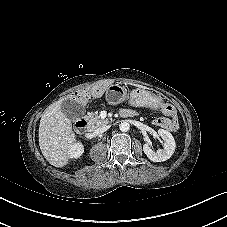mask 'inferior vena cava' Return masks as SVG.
Segmentation results:
<instances>
[{"label":"inferior vena cava","instance_id":"obj_1","mask_svg":"<svg viewBox=\"0 0 227 227\" xmlns=\"http://www.w3.org/2000/svg\"><path fill=\"white\" fill-rule=\"evenodd\" d=\"M109 127H110V126L105 125V126H101V127L97 128V129H95V130H94V135H99V134H101V133L107 131V130L109 129Z\"/></svg>","mask_w":227,"mask_h":227}]
</instances>
